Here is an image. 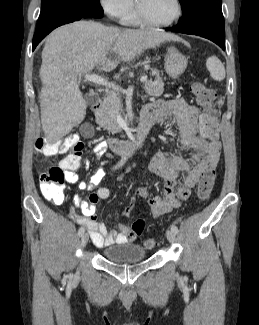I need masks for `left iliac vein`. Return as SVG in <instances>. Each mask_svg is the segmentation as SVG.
<instances>
[{"label":"left iliac vein","mask_w":259,"mask_h":325,"mask_svg":"<svg viewBox=\"0 0 259 325\" xmlns=\"http://www.w3.org/2000/svg\"><path fill=\"white\" fill-rule=\"evenodd\" d=\"M166 237L170 243H174L176 240L175 233L172 230L166 231Z\"/></svg>","instance_id":"obj_1"}]
</instances>
